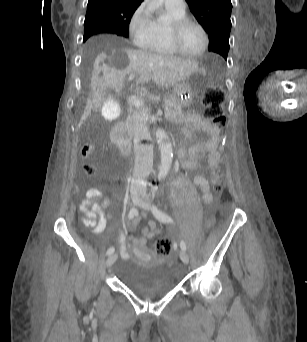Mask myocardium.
Instances as JSON below:
<instances>
[{"label": "myocardium", "mask_w": 307, "mask_h": 342, "mask_svg": "<svg viewBox=\"0 0 307 342\" xmlns=\"http://www.w3.org/2000/svg\"><path fill=\"white\" fill-rule=\"evenodd\" d=\"M190 23H196L200 26V28L203 31L204 34V47L202 51L196 55L190 54L186 52L182 45V33L184 29L190 24ZM166 34L167 39L171 47L181 56H184L188 59L197 60L202 58L208 51L209 45H210V37H209V31L205 23L195 17V16H183L180 18L171 19L166 27Z\"/></svg>", "instance_id": "myocardium-1"}]
</instances>
